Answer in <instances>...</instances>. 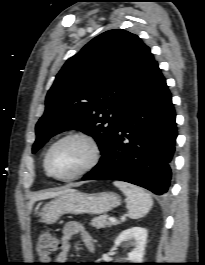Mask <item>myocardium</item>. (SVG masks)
Wrapping results in <instances>:
<instances>
[{
	"label": "myocardium",
	"instance_id": "myocardium-1",
	"mask_svg": "<svg viewBox=\"0 0 205 265\" xmlns=\"http://www.w3.org/2000/svg\"><path fill=\"white\" fill-rule=\"evenodd\" d=\"M69 139H79L84 141L90 149V156L89 159L87 160V162L75 173L68 175V176H58L53 174L48 166V160H49V156L52 152V150L60 143L69 140ZM101 157V148L100 145L98 143V141L90 134L85 133V132H70L67 133L63 136H61L60 138H58L57 140H55L47 149L45 155H44V159H43V167L44 170L46 172V174L58 181H72V180H76L82 176H84L85 174H87L88 172H90L99 162Z\"/></svg>",
	"mask_w": 205,
	"mask_h": 265
}]
</instances>
